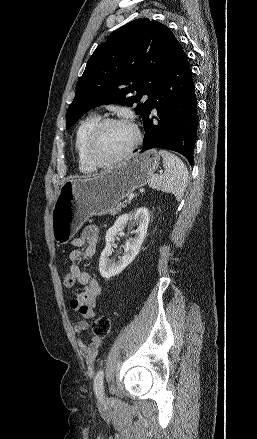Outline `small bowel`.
I'll list each match as a JSON object with an SVG mask.
<instances>
[{
	"label": "small bowel",
	"instance_id": "c3829d8e",
	"mask_svg": "<svg viewBox=\"0 0 257 439\" xmlns=\"http://www.w3.org/2000/svg\"><path fill=\"white\" fill-rule=\"evenodd\" d=\"M98 241L99 230L94 226L88 227L79 237L72 240L71 244L74 249L69 254V259L72 262L69 271L82 287L81 291L70 300L71 309L84 318L74 325V332L77 335L76 344L81 356L91 367L95 363L101 339L93 336L90 343L86 344L80 335L89 327L87 320L95 315L94 308L96 299L101 293V287L97 280L81 267L80 263L94 256Z\"/></svg>",
	"mask_w": 257,
	"mask_h": 439
}]
</instances>
